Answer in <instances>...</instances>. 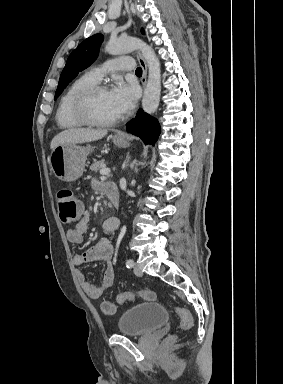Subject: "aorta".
<instances>
[{
	"label": "aorta",
	"instance_id": "762f6f07",
	"mask_svg": "<svg viewBox=\"0 0 283 384\" xmlns=\"http://www.w3.org/2000/svg\"><path fill=\"white\" fill-rule=\"evenodd\" d=\"M106 51L111 55H120L139 49L147 62L148 80L142 99L143 110L149 114L156 111L160 101L161 92V70L153 49L134 37H121L110 41L105 47Z\"/></svg>",
	"mask_w": 283,
	"mask_h": 384
}]
</instances>
